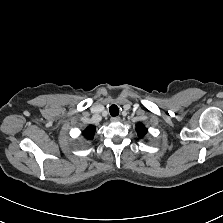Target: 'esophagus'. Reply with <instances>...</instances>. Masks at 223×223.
Returning a JSON list of instances; mask_svg holds the SVG:
<instances>
[{
  "mask_svg": "<svg viewBox=\"0 0 223 223\" xmlns=\"http://www.w3.org/2000/svg\"><path fill=\"white\" fill-rule=\"evenodd\" d=\"M118 121H120V117L119 116L111 117V122H118Z\"/></svg>",
  "mask_w": 223,
  "mask_h": 223,
  "instance_id": "1",
  "label": "esophagus"
}]
</instances>
